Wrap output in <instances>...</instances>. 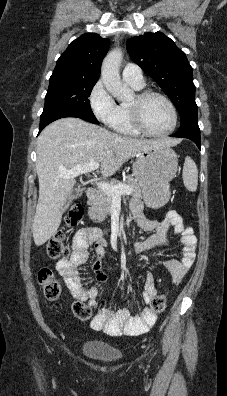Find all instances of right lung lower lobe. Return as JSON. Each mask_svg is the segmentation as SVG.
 Listing matches in <instances>:
<instances>
[{
    "instance_id": "98d812e1",
    "label": "right lung lower lobe",
    "mask_w": 227,
    "mask_h": 396,
    "mask_svg": "<svg viewBox=\"0 0 227 396\" xmlns=\"http://www.w3.org/2000/svg\"><path fill=\"white\" fill-rule=\"evenodd\" d=\"M64 117H77L86 120L82 115L69 109L53 110L47 113H42L40 118L39 132H41L51 122Z\"/></svg>"
}]
</instances>
